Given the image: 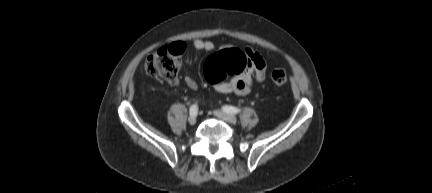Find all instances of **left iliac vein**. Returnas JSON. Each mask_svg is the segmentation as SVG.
<instances>
[{
	"instance_id": "4c4485c4",
	"label": "left iliac vein",
	"mask_w": 432,
	"mask_h": 193,
	"mask_svg": "<svg viewBox=\"0 0 432 193\" xmlns=\"http://www.w3.org/2000/svg\"><path fill=\"white\" fill-rule=\"evenodd\" d=\"M214 115L226 122H230V123H236L237 118L234 115L228 114L226 112L220 111V110H215Z\"/></svg>"
}]
</instances>
